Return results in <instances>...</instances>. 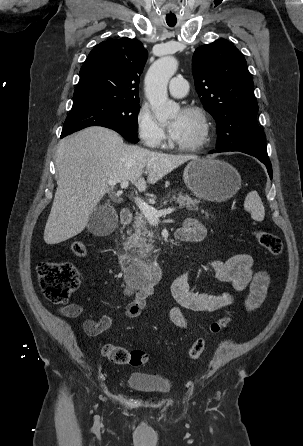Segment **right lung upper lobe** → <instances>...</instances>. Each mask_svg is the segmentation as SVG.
Masks as SVG:
<instances>
[{"label": "right lung upper lobe", "instance_id": "obj_1", "mask_svg": "<svg viewBox=\"0 0 303 446\" xmlns=\"http://www.w3.org/2000/svg\"><path fill=\"white\" fill-rule=\"evenodd\" d=\"M147 56L140 41L127 37L96 45L80 69L72 108L109 101L139 102V76Z\"/></svg>", "mask_w": 303, "mask_h": 446}]
</instances>
